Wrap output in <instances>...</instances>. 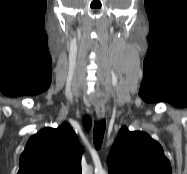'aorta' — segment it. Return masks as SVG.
<instances>
[{"instance_id": "762f6f07", "label": "aorta", "mask_w": 187, "mask_h": 174, "mask_svg": "<svg viewBox=\"0 0 187 174\" xmlns=\"http://www.w3.org/2000/svg\"><path fill=\"white\" fill-rule=\"evenodd\" d=\"M95 174H107V172L104 171V170H97V171L95 172Z\"/></svg>"}]
</instances>
